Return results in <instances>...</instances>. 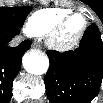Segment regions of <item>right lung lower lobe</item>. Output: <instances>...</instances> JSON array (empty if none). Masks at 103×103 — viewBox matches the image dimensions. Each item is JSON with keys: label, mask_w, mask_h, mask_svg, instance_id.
I'll return each mask as SVG.
<instances>
[{"label": "right lung lower lobe", "mask_w": 103, "mask_h": 103, "mask_svg": "<svg viewBox=\"0 0 103 103\" xmlns=\"http://www.w3.org/2000/svg\"><path fill=\"white\" fill-rule=\"evenodd\" d=\"M19 32V28L0 26V102L10 101L13 80L20 70L22 56L31 46L30 40L17 47L8 45Z\"/></svg>", "instance_id": "right-lung-lower-lobe-1"}]
</instances>
